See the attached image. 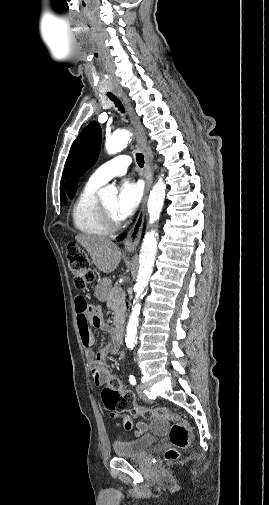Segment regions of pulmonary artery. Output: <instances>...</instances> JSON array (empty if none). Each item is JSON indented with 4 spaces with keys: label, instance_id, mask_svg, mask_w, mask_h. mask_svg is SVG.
<instances>
[{
    "label": "pulmonary artery",
    "instance_id": "pulmonary-artery-1",
    "mask_svg": "<svg viewBox=\"0 0 269 505\" xmlns=\"http://www.w3.org/2000/svg\"><path fill=\"white\" fill-rule=\"evenodd\" d=\"M130 163L131 159L129 156H117L98 167L91 174L89 181L94 184L104 185L113 177L124 175Z\"/></svg>",
    "mask_w": 269,
    "mask_h": 505
}]
</instances>
